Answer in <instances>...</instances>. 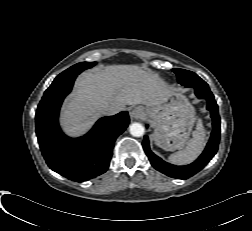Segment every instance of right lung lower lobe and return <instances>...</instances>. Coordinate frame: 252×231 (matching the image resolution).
I'll use <instances>...</instances> for the list:
<instances>
[{
  "label": "right lung lower lobe",
  "mask_w": 252,
  "mask_h": 231,
  "mask_svg": "<svg viewBox=\"0 0 252 231\" xmlns=\"http://www.w3.org/2000/svg\"><path fill=\"white\" fill-rule=\"evenodd\" d=\"M77 76L52 83L36 111V134L43 157L55 172L73 181H86L104 173L116 138L129 124L128 112L99 119L85 136L69 138L58 125L60 106Z\"/></svg>",
  "instance_id": "1"
}]
</instances>
